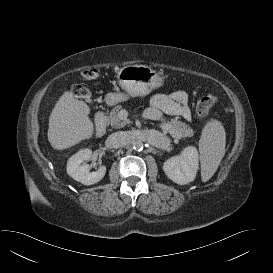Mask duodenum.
Masks as SVG:
<instances>
[{"label": "duodenum", "mask_w": 273, "mask_h": 273, "mask_svg": "<svg viewBox=\"0 0 273 273\" xmlns=\"http://www.w3.org/2000/svg\"><path fill=\"white\" fill-rule=\"evenodd\" d=\"M108 123L105 115L102 112L97 114L96 125H95V137H102L107 129Z\"/></svg>", "instance_id": "obj_1"}]
</instances>
